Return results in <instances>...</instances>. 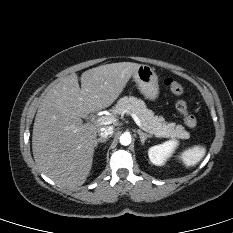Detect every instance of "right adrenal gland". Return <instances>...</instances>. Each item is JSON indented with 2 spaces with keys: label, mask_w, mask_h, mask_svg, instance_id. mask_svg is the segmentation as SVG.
Here are the masks:
<instances>
[{
  "label": "right adrenal gland",
  "mask_w": 233,
  "mask_h": 233,
  "mask_svg": "<svg viewBox=\"0 0 233 233\" xmlns=\"http://www.w3.org/2000/svg\"><path fill=\"white\" fill-rule=\"evenodd\" d=\"M106 142H107V138H98L96 139L95 146L97 147L98 143H106Z\"/></svg>",
  "instance_id": "obj_1"
}]
</instances>
